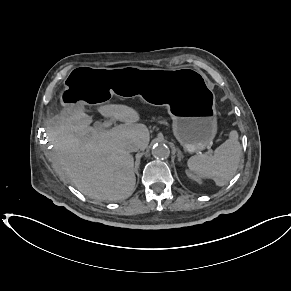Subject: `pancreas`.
I'll return each mask as SVG.
<instances>
[{
	"label": "pancreas",
	"instance_id": "obj_1",
	"mask_svg": "<svg viewBox=\"0 0 291 291\" xmlns=\"http://www.w3.org/2000/svg\"><path fill=\"white\" fill-rule=\"evenodd\" d=\"M153 120L161 122V123H165L166 122L164 119H161V117H153Z\"/></svg>",
	"mask_w": 291,
	"mask_h": 291
}]
</instances>
